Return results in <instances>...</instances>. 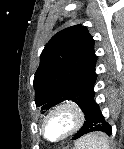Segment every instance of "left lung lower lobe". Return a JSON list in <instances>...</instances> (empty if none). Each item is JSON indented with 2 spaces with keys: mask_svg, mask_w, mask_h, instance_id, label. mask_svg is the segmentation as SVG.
<instances>
[{
  "mask_svg": "<svg viewBox=\"0 0 124 149\" xmlns=\"http://www.w3.org/2000/svg\"><path fill=\"white\" fill-rule=\"evenodd\" d=\"M85 122L82 128L72 140H76L81 136L91 133V132H101L110 136L112 134V127L105 120V117L101 113L99 105L94 101V95L87 103V115L85 117ZM103 138V137H102Z\"/></svg>",
  "mask_w": 124,
  "mask_h": 149,
  "instance_id": "1",
  "label": "left lung lower lobe"
}]
</instances>
